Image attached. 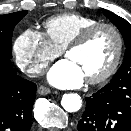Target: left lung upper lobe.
Wrapping results in <instances>:
<instances>
[{
	"instance_id": "5c2ea615",
	"label": "left lung upper lobe",
	"mask_w": 131,
	"mask_h": 131,
	"mask_svg": "<svg viewBox=\"0 0 131 131\" xmlns=\"http://www.w3.org/2000/svg\"><path fill=\"white\" fill-rule=\"evenodd\" d=\"M102 11L104 15L108 17L111 22L119 29L124 38L126 46L123 63L118 69L113 79L111 80V82H117L122 79L131 78V24H129L125 19L105 9H102Z\"/></svg>"
}]
</instances>
